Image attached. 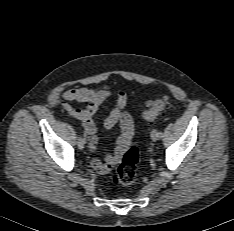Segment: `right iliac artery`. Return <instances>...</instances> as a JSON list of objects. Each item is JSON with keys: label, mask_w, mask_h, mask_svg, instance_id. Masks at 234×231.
<instances>
[{"label": "right iliac artery", "mask_w": 234, "mask_h": 231, "mask_svg": "<svg viewBox=\"0 0 234 231\" xmlns=\"http://www.w3.org/2000/svg\"><path fill=\"white\" fill-rule=\"evenodd\" d=\"M80 139H83L84 141H85V139H86V135L84 134L83 135V138L82 137H79Z\"/></svg>", "instance_id": "1"}]
</instances>
